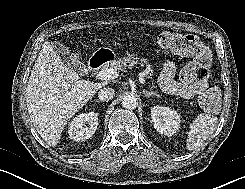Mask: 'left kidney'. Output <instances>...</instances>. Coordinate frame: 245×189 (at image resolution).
<instances>
[{
    "mask_svg": "<svg viewBox=\"0 0 245 189\" xmlns=\"http://www.w3.org/2000/svg\"><path fill=\"white\" fill-rule=\"evenodd\" d=\"M154 128L161 134L172 136L180 126V116L168 107L155 106L151 109Z\"/></svg>",
    "mask_w": 245,
    "mask_h": 189,
    "instance_id": "1",
    "label": "left kidney"
}]
</instances>
